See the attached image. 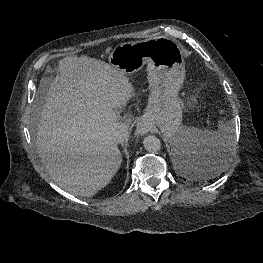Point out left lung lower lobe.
<instances>
[{
	"label": "left lung lower lobe",
	"instance_id": "obj_1",
	"mask_svg": "<svg viewBox=\"0 0 263 263\" xmlns=\"http://www.w3.org/2000/svg\"><path fill=\"white\" fill-rule=\"evenodd\" d=\"M224 151L219 146H207L195 154L175 152V164L180 174L190 180H207L216 176L223 163Z\"/></svg>",
	"mask_w": 263,
	"mask_h": 263
}]
</instances>
